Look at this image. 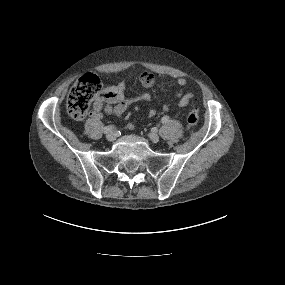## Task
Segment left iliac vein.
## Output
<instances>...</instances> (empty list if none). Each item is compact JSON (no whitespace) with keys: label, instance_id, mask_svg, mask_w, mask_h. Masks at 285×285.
I'll list each match as a JSON object with an SVG mask.
<instances>
[{"label":"left iliac vein","instance_id":"left-iliac-vein-1","mask_svg":"<svg viewBox=\"0 0 285 285\" xmlns=\"http://www.w3.org/2000/svg\"><path fill=\"white\" fill-rule=\"evenodd\" d=\"M148 136L153 143H157L160 140V137L156 133H149Z\"/></svg>","mask_w":285,"mask_h":285}]
</instances>
